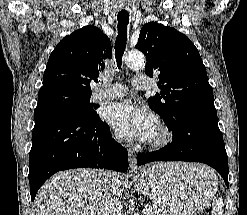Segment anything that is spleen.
<instances>
[{"mask_svg": "<svg viewBox=\"0 0 247 215\" xmlns=\"http://www.w3.org/2000/svg\"><path fill=\"white\" fill-rule=\"evenodd\" d=\"M223 200L221 198L216 199L212 205V215H223Z\"/></svg>", "mask_w": 247, "mask_h": 215, "instance_id": "spleen-1", "label": "spleen"}]
</instances>
